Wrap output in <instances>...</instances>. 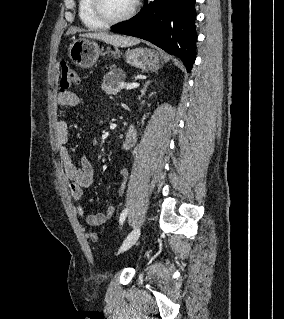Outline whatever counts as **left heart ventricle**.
I'll list each match as a JSON object with an SVG mask.
<instances>
[{"label":"left heart ventricle","mask_w":284,"mask_h":319,"mask_svg":"<svg viewBox=\"0 0 284 319\" xmlns=\"http://www.w3.org/2000/svg\"><path fill=\"white\" fill-rule=\"evenodd\" d=\"M133 0H103V7L110 17H118L126 13Z\"/></svg>","instance_id":"obj_1"}]
</instances>
